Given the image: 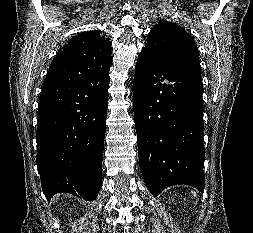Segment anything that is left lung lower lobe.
Returning <instances> with one entry per match:
<instances>
[{
	"mask_svg": "<svg viewBox=\"0 0 253 233\" xmlns=\"http://www.w3.org/2000/svg\"><path fill=\"white\" fill-rule=\"evenodd\" d=\"M201 73H170L142 50L135 67L133 108L140 169L149 191L187 184L204 190Z\"/></svg>",
	"mask_w": 253,
	"mask_h": 233,
	"instance_id": "1",
	"label": "left lung lower lobe"
}]
</instances>
